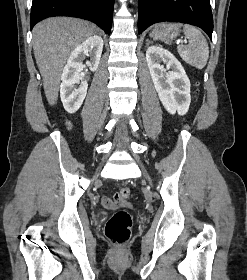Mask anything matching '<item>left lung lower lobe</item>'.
Returning a JSON list of instances; mask_svg holds the SVG:
<instances>
[{"label": "left lung lower lobe", "instance_id": "left-lung-lower-lobe-1", "mask_svg": "<svg viewBox=\"0 0 247 280\" xmlns=\"http://www.w3.org/2000/svg\"><path fill=\"white\" fill-rule=\"evenodd\" d=\"M138 33L162 21L192 24L203 29L210 39L213 17L209 0H138Z\"/></svg>", "mask_w": 247, "mask_h": 280}]
</instances>
